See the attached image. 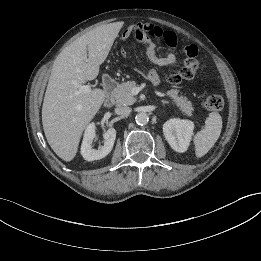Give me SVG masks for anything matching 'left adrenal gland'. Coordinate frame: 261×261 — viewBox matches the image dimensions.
Segmentation results:
<instances>
[{"label": "left adrenal gland", "instance_id": "a2214340", "mask_svg": "<svg viewBox=\"0 0 261 261\" xmlns=\"http://www.w3.org/2000/svg\"><path fill=\"white\" fill-rule=\"evenodd\" d=\"M162 102V104L163 105H166V104H168V102L167 101H161Z\"/></svg>", "mask_w": 261, "mask_h": 261}]
</instances>
